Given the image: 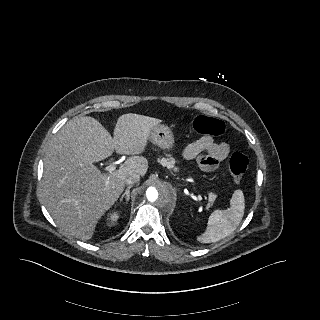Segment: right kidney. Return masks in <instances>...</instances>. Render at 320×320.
<instances>
[{"label": "right kidney", "mask_w": 320, "mask_h": 320, "mask_svg": "<svg viewBox=\"0 0 320 320\" xmlns=\"http://www.w3.org/2000/svg\"><path fill=\"white\" fill-rule=\"evenodd\" d=\"M111 221H116L118 219V215L114 212L110 215V218H109Z\"/></svg>", "instance_id": "ca27d5eb"}]
</instances>
